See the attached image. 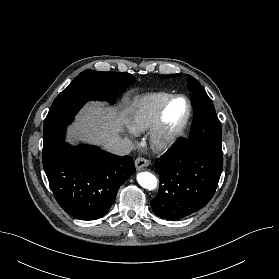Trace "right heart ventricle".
<instances>
[{
	"mask_svg": "<svg viewBox=\"0 0 279 279\" xmlns=\"http://www.w3.org/2000/svg\"><path fill=\"white\" fill-rule=\"evenodd\" d=\"M168 92H155L137 97L132 104L129 127L134 133H143L154 125L163 103L171 97Z\"/></svg>",
	"mask_w": 279,
	"mask_h": 279,
	"instance_id": "right-heart-ventricle-1",
	"label": "right heart ventricle"
}]
</instances>
